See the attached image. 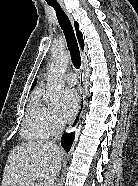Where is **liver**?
Wrapping results in <instances>:
<instances>
[{"label": "liver", "mask_w": 138, "mask_h": 186, "mask_svg": "<svg viewBox=\"0 0 138 186\" xmlns=\"http://www.w3.org/2000/svg\"><path fill=\"white\" fill-rule=\"evenodd\" d=\"M63 151L48 143L28 142L15 146L4 168L1 186H33L35 180H45Z\"/></svg>", "instance_id": "1"}]
</instances>
